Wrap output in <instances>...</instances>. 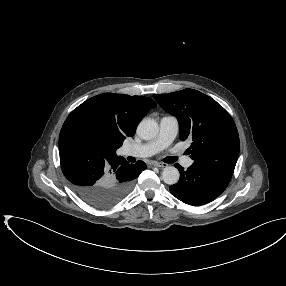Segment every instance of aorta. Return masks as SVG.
I'll return each mask as SVG.
<instances>
[{
  "mask_svg": "<svg viewBox=\"0 0 286 286\" xmlns=\"http://www.w3.org/2000/svg\"><path fill=\"white\" fill-rule=\"evenodd\" d=\"M159 126L154 119H143L137 127V134L140 138L149 140L157 136ZM179 171L174 166L165 167L162 172V180L168 185H174L179 181Z\"/></svg>",
  "mask_w": 286,
  "mask_h": 286,
  "instance_id": "obj_1",
  "label": "aorta"
}]
</instances>
